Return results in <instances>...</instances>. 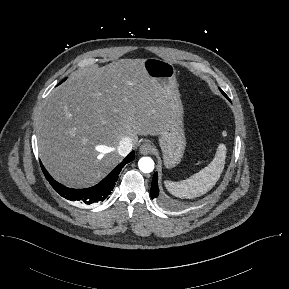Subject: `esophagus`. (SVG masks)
<instances>
[{
	"mask_svg": "<svg viewBox=\"0 0 289 289\" xmlns=\"http://www.w3.org/2000/svg\"><path fill=\"white\" fill-rule=\"evenodd\" d=\"M139 151L143 155L150 154L152 152V145L149 142H144L141 144Z\"/></svg>",
	"mask_w": 289,
	"mask_h": 289,
	"instance_id": "obj_1",
	"label": "esophagus"
}]
</instances>
